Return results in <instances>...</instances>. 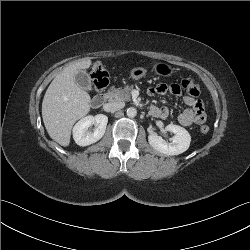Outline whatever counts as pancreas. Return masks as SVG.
<instances>
[{
	"mask_svg": "<svg viewBox=\"0 0 250 250\" xmlns=\"http://www.w3.org/2000/svg\"><path fill=\"white\" fill-rule=\"evenodd\" d=\"M131 87L124 88H110L108 91L109 101H130L131 99Z\"/></svg>",
	"mask_w": 250,
	"mask_h": 250,
	"instance_id": "1",
	"label": "pancreas"
}]
</instances>
